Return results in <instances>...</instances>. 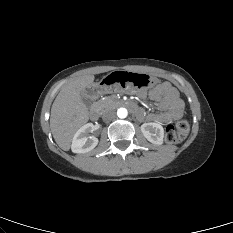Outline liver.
Wrapping results in <instances>:
<instances>
[{
	"label": "liver",
	"mask_w": 233,
	"mask_h": 233,
	"mask_svg": "<svg viewBox=\"0 0 233 233\" xmlns=\"http://www.w3.org/2000/svg\"><path fill=\"white\" fill-rule=\"evenodd\" d=\"M94 75L79 76L68 81L55 98L50 116V129L58 146L70 149L77 130L89 119V111L82 101L86 88L93 85Z\"/></svg>",
	"instance_id": "6515ba94"
}]
</instances>
